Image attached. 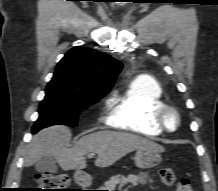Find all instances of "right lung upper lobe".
Returning a JSON list of instances; mask_svg holds the SVG:
<instances>
[{
    "mask_svg": "<svg viewBox=\"0 0 218 191\" xmlns=\"http://www.w3.org/2000/svg\"><path fill=\"white\" fill-rule=\"evenodd\" d=\"M122 64L107 53L76 46L58 63L54 78L86 94H107Z\"/></svg>",
    "mask_w": 218,
    "mask_h": 191,
    "instance_id": "1",
    "label": "right lung upper lobe"
}]
</instances>
